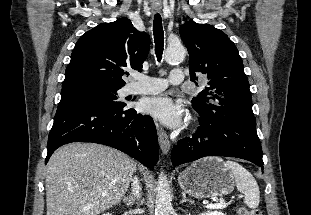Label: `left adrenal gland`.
Instances as JSON below:
<instances>
[{
  "mask_svg": "<svg viewBox=\"0 0 311 215\" xmlns=\"http://www.w3.org/2000/svg\"><path fill=\"white\" fill-rule=\"evenodd\" d=\"M182 197H183V199L180 201L181 204H183V203H185V202H189V203L193 204V201L188 200V199L186 198V194H185L184 192L182 193Z\"/></svg>",
  "mask_w": 311,
  "mask_h": 215,
  "instance_id": "left-adrenal-gland-1",
  "label": "left adrenal gland"
}]
</instances>
